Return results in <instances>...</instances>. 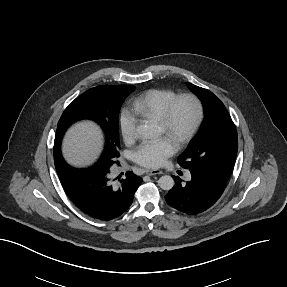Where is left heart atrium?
Masks as SVG:
<instances>
[{"mask_svg": "<svg viewBox=\"0 0 287 287\" xmlns=\"http://www.w3.org/2000/svg\"><path fill=\"white\" fill-rule=\"evenodd\" d=\"M176 152V144L169 138L144 141L135 151V161L147 168H158Z\"/></svg>", "mask_w": 287, "mask_h": 287, "instance_id": "left-heart-atrium-1", "label": "left heart atrium"}]
</instances>
